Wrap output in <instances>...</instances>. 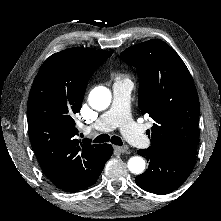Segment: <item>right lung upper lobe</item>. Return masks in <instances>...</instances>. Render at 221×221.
Returning <instances> with one entry per match:
<instances>
[{
  "instance_id": "right-lung-upper-lobe-1",
  "label": "right lung upper lobe",
  "mask_w": 221,
  "mask_h": 221,
  "mask_svg": "<svg viewBox=\"0 0 221 221\" xmlns=\"http://www.w3.org/2000/svg\"><path fill=\"white\" fill-rule=\"evenodd\" d=\"M109 51L70 48L50 56L30 90L27 119L31 145L49 179L62 190L89 186L104 155V144L78 141L73 115L80 111L89 78Z\"/></svg>"
}]
</instances>
